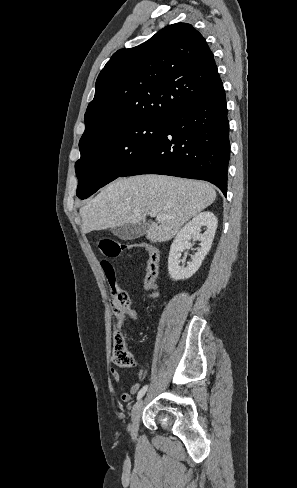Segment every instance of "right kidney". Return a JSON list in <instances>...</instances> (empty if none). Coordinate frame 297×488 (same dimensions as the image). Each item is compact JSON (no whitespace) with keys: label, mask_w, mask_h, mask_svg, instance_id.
<instances>
[{"label":"right kidney","mask_w":297,"mask_h":488,"mask_svg":"<svg viewBox=\"0 0 297 488\" xmlns=\"http://www.w3.org/2000/svg\"><path fill=\"white\" fill-rule=\"evenodd\" d=\"M218 220L212 212H201L189 221L175 237L169 252L168 271L173 280H182L190 278L200 268L202 261L211 249L212 242L216 233ZM205 226L206 230L201 233V227ZM193 241H201V248L191 257L185 267L179 263L181 252L191 248Z\"/></svg>","instance_id":"1"}]
</instances>
